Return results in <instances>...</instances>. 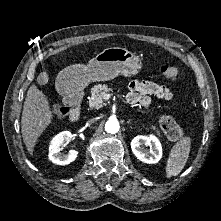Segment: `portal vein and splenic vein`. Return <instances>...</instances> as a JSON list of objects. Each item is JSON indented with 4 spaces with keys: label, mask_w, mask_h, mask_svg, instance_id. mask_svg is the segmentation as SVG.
Segmentation results:
<instances>
[{
    "label": "portal vein and splenic vein",
    "mask_w": 221,
    "mask_h": 221,
    "mask_svg": "<svg viewBox=\"0 0 221 221\" xmlns=\"http://www.w3.org/2000/svg\"><path fill=\"white\" fill-rule=\"evenodd\" d=\"M110 95L109 94H105L104 95V99H109Z\"/></svg>",
    "instance_id": "1"
}]
</instances>
